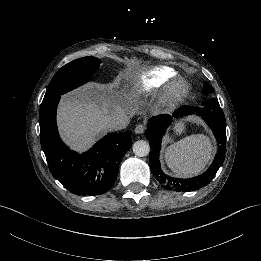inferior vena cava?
<instances>
[{
    "label": "inferior vena cava",
    "instance_id": "inferior-vena-cava-1",
    "mask_svg": "<svg viewBox=\"0 0 261 261\" xmlns=\"http://www.w3.org/2000/svg\"><path fill=\"white\" fill-rule=\"evenodd\" d=\"M129 116L125 112H118L108 123L113 129H124L128 125Z\"/></svg>",
    "mask_w": 261,
    "mask_h": 261
}]
</instances>
